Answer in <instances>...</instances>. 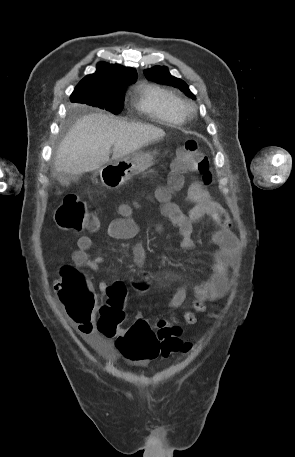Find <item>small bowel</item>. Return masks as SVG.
<instances>
[{
    "instance_id": "c3829d8e",
    "label": "small bowel",
    "mask_w": 295,
    "mask_h": 457,
    "mask_svg": "<svg viewBox=\"0 0 295 457\" xmlns=\"http://www.w3.org/2000/svg\"><path fill=\"white\" fill-rule=\"evenodd\" d=\"M188 198L194 203L193 208L185 213L177 204L168 198L155 199L147 198L148 201H156L161 213L167 217L172 225L180 234L181 247L183 249H192L194 242L192 240L193 227L196 222L204 217L211 218L217 225L212 235V242L217 249L213 253V263L211 266V277L198 284L194 288V300L190 309L183 316V323L186 326L195 325L198 321V315L206 311V302L216 301L224 296L228 290L227 270L232 255L237 246V238L231 230V221L226 210L215 200L212 199L209 191L199 182H193L188 188ZM139 199H133L128 203L119 206L118 212L123 215L121 218L112 220L107 229L106 235L112 239L129 240L136 237L139 233V227L130 217L131 207L138 203ZM92 240L89 236H80L77 240V249L72 254V260L79 267H87L93 271H98L104 258L97 256L89 258L88 250L91 248ZM133 260L139 266L146 264V251L140 244L133 248ZM109 284L101 281L98 288L101 292L109 289ZM187 298V289L179 287L168 302L170 309L179 308ZM72 324L84 338H102L96 328L93 320L83 322L71 318ZM148 361V360H142Z\"/></svg>"
}]
</instances>
